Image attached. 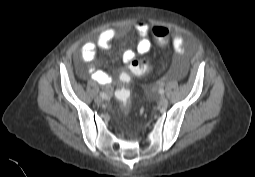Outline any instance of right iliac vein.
Here are the masks:
<instances>
[{
  "instance_id": "obj_1",
  "label": "right iliac vein",
  "mask_w": 255,
  "mask_h": 177,
  "mask_svg": "<svg viewBox=\"0 0 255 177\" xmlns=\"http://www.w3.org/2000/svg\"><path fill=\"white\" fill-rule=\"evenodd\" d=\"M95 102H96L98 105L101 104V103H102L101 97H96V98H95Z\"/></svg>"
}]
</instances>
